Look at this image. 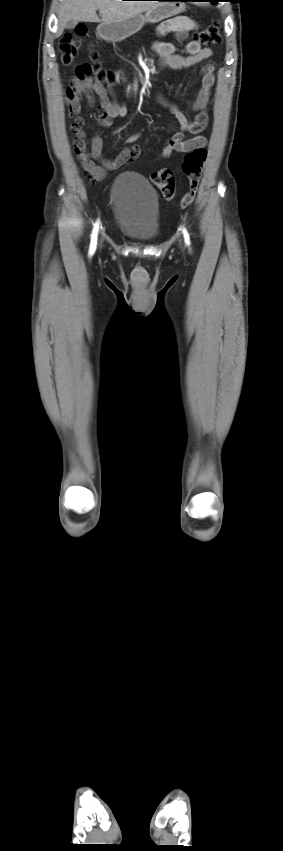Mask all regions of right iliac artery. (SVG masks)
Masks as SVG:
<instances>
[{
    "instance_id": "obj_1",
    "label": "right iliac artery",
    "mask_w": 283,
    "mask_h": 851,
    "mask_svg": "<svg viewBox=\"0 0 283 851\" xmlns=\"http://www.w3.org/2000/svg\"><path fill=\"white\" fill-rule=\"evenodd\" d=\"M97 233H98V223L95 224L94 229H93L92 238H91V245H90V254H93L95 249H96Z\"/></svg>"
}]
</instances>
